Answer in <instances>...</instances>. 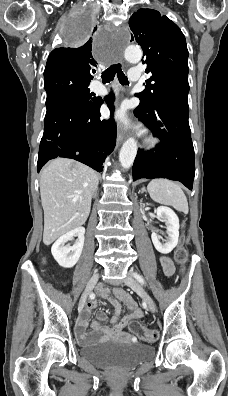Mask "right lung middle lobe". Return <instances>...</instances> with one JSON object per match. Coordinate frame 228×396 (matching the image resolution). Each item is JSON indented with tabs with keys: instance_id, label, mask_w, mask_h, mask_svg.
I'll return each mask as SVG.
<instances>
[{
	"instance_id": "right-lung-middle-lobe-1",
	"label": "right lung middle lobe",
	"mask_w": 228,
	"mask_h": 396,
	"mask_svg": "<svg viewBox=\"0 0 228 396\" xmlns=\"http://www.w3.org/2000/svg\"><path fill=\"white\" fill-rule=\"evenodd\" d=\"M74 21L75 24L80 25V33L74 41L81 43L92 33L93 24L83 16L76 17ZM95 30L96 27L93 32ZM89 83L90 80L73 74L44 76V87L47 93V112L54 110L57 106L66 102L92 100V94L88 89Z\"/></svg>"
}]
</instances>
